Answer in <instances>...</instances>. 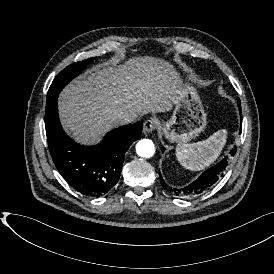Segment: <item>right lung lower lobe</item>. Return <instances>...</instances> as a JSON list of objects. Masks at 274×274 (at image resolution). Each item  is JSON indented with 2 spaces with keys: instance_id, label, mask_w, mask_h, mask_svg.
<instances>
[{
  "instance_id": "98d812e1",
  "label": "right lung lower lobe",
  "mask_w": 274,
  "mask_h": 274,
  "mask_svg": "<svg viewBox=\"0 0 274 274\" xmlns=\"http://www.w3.org/2000/svg\"><path fill=\"white\" fill-rule=\"evenodd\" d=\"M57 99L58 95L47 99L45 111L48 146L57 170L73 189L85 196L108 194L120 178L126 151L141 137L142 122L112 130L100 144L85 147L63 131Z\"/></svg>"
}]
</instances>
